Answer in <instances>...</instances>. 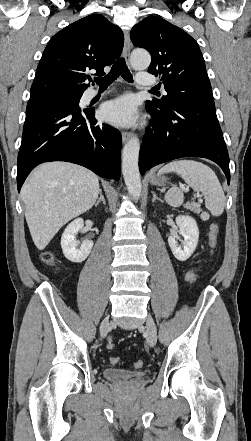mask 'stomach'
Instances as JSON below:
<instances>
[{
	"instance_id": "1",
	"label": "stomach",
	"mask_w": 251,
	"mask_h": 441,
	"mask_svg": "<svg viewBox=\"0 0 251 441\" xmlns=\"http://www.w3.org/2000/svg\"><path fill=\"white\" fill-rule=\"evenodd\" d=\"M166 181L164 176L161 175H155V174H151L150 175V182L153 185H162L164 182Z\"/></svg>"
}]
</instances>
